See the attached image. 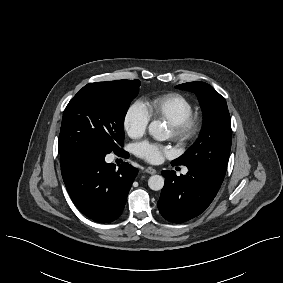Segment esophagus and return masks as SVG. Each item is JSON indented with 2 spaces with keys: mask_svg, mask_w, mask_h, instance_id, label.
<instances>
[{
  "mask_svg": "<svg viewBox=\"0 0 283 283\" xmlns=\"http://www.w3.org/2000/svg\"><path fill=\"white\" fill-rule=\"evenodd\" d=\"M145 172L149 173V174H152V175L157 173L156 169H154L152 167H147Z\"/></svg>",
  "mask_w": 283,
  "mask_h": 283,
  "instance_id": "obj_1",
  "label": "esophagus"
}]
</instances>
